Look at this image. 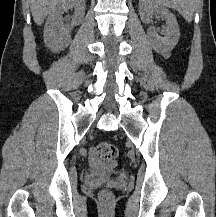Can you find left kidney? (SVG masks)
<instances>
[{
    "label": "left kidney",
    "mask_w": 216,
    "mask_h": 217,
    "mask_svg": "<svg viewBox=\"0 0 216 217\" xmlns=\"http://www.w3.org/2000/svg\"><path fill=\"white\" fill-rule=\"evenodd\" d=\"M139 14L144 23H149L152 15L157 14L166 21V27L162 30L164 37H160L154 27L147 31L149 42L152 48L165 56L176 46L180 36L179 25L176 17L164 7L152 0L139 1Z\"/></svg>",
    "instance_id": "obj_1"
}]
</instances>
